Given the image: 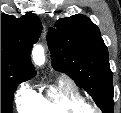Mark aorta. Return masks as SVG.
I'll use <instances>...</instances> for the list:
<instances>
[{"label":"aorta","instance_id":"obj_1","mask_svg":"<svg viewBox=\"0 0 121 113\" xmlns=\"http://www.w3.org/2000/svg\"><path fill=\"white\" fill-rule=\"evenodd\" d=\"M32 59L34 63L38 66H41L45 62L44 50L42 46L35 45L32 50Z\"/></svg>","mask_w":121,"mask_h":113}]
</instances>
